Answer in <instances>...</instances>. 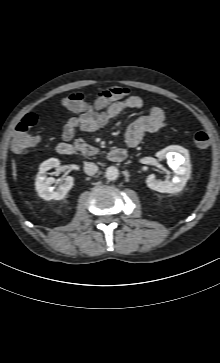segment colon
<instances>
[{
	"mask_svg": "<svg viewBox=\"0 0 220 363\" xmlns=\"http://www.w3.org/2000/svg\"><path fill=\"white\" fill-rule=\"evenodd\" d=\"M130 90L123 86H112L96 94L94 104L106 105L128 97ZM63 105L73 111H80L86 105V98L81 92H73L63 99ZM38 116L35 113L27 114L15 127L11 143L12 150L16 153L25 152L33 148L40 140L38 135H33L31 130L37 125ZM197 146L205 148L210 143V137L205 131L194 134Z\"/></svg>",
	"mask_w": 220,
	"mask_h": 363,
	"instance_id": "colon-1",
	"label": "colon"
}]
</instances>
